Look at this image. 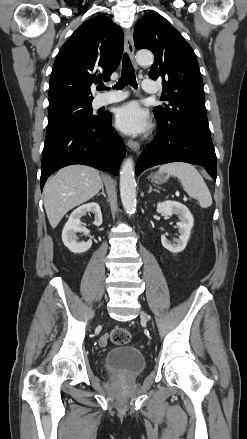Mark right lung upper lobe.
I'll return each instance as SVG.
<instances>
[{
	"instance_id": "right-lung-upper-lobe-1",
	"label": "right lung upper lobe",
	"mask_w": 247,
	"mask_h": 439,
	"mask_svg": "<svg viewBox=\"0 0 247 439\" xmlns=\"http://www.w3.org/2000/svg\"><path fill=\"white\" fill-rule=\"evenodd\" d=\"M122 29L105 16L83 22L61 47L50 77L49 111L92 102L91 85L109 81L123 52Z\"/></svg>"
}]
</instances>
